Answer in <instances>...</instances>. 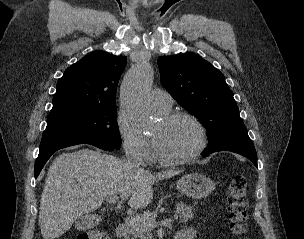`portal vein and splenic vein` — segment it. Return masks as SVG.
Masks as SVG:
<instances>
[{"mask_svg":"<svg viewBox=\"0 0 304 239\" xmlns=\"http://www.w3.org/2000/svg\"><path fill=\"white\" fill-rule=\"evenodd\" d=\"M118 200H119V197H118L117 195H112V196H110V197L108 198L107 201H108L109 204H116V203L118 202ZM131 220L134 221L135 218H131ZM171 222H172V219H171V218H167V219L161 221L160 223H156L155 220H151V221H149L148 226H149L150 228H154V227H156L157 225L165 226V225L170 224Z\"/></svg>","mask_w":304,"mask_h":239,"instance_id":"18ae733b","label":"portal vein and splenic vein"}]
</instances>
